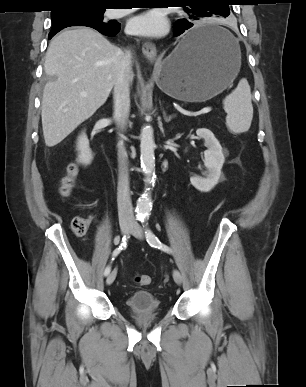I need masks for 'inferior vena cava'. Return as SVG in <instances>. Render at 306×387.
I'll return each instance as SVG.
<instances>
[{"mask_svg":"<svg viewBox=\"0 0 306 387\" xmlns=\"http://www.w3.org/2000/svg\"><path fill=\"white\" fill-rule=\"evenodd\" d=\"M131 51H126L119 65L118 73L114 83V119L121 129H124L130 112V82ZM119 177L117 187L118 216L120 222H133V208L130 197L129 177L127 169V153L123 140L118 142Z\"/></svg>","mask_w":306,"mask_h":387,"instance_id":"obj_1","label":"inferior vena cava"}]
</instances>
